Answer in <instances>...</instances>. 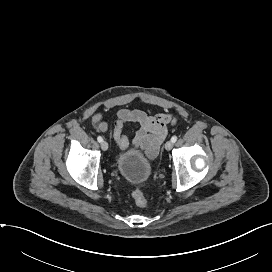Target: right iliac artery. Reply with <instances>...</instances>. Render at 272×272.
I'll use <instances>...</instances> for the list:
<instances>
[{
    "label": "right iliac artery",
    "mask_w": 272,
    "mask_h": 272,
    "mask_svg": "<svg viewBox=\"0 0 272 272\" xmlns=\"http://www.w3.org/2000/svg\"><path fill=\"white\" fill-rule=\"evenodd\" d=\"M97 140H98V142L101 143V142L103 141V138H102L101 136H98V137H97Z\"/></svg>",
    "instance_id": "1"
}]
</instances>
